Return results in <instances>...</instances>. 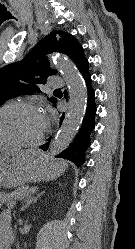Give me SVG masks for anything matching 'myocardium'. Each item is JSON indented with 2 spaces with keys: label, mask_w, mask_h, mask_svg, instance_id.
<instances>
[{
  "label": "myocardium",
  "mask_w": 135,
  "mask_h": 249,
  "mask_svg": "<svg viewBox=\"0 0 135 249\" xmlns=\"http://www.w3.org/2000/svg\"><path fill=\"white\" fill-rule=\"evenodd\" d=\"M13 106L34 109V110H38V111L43 113L41 106L38 105L37 103L31 102V101H22V100L11 101V102L4 104L3 106L0 107V113L3 110H5L9 107H13ZM47 130H48V125H47V122L45 121L41 134L37 138H35L34 140L25 141V140H19V139L1 138L0 137V144L18 145V146H22V147H34V146L39 145L42 142V140L44 139V137L47 133Z\"/></svg>",
  "instance_id": "1"
}]
</instances>
